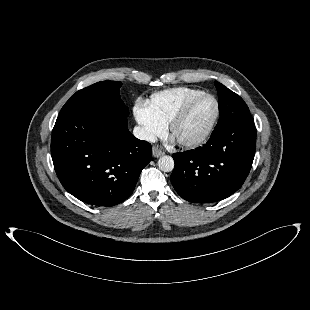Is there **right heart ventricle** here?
<instances>
[{
	"mask_svg": "<svg viewBox=\"0 0 310 310\" xmlns=\"http://www.w3.org/2000/svg\"><path fill=\"white\" fill-rule=\"evenodd\" d=\"M202 93L188 87L171 88L152 94L147 103L153 113L167 124L189 99Z\"/></svg>",
	"mask_w": 310,
	"mask_h": 310,
	"instance_id": "obj_1",
	"label": "right heart ventricle"
}]
</instances>
